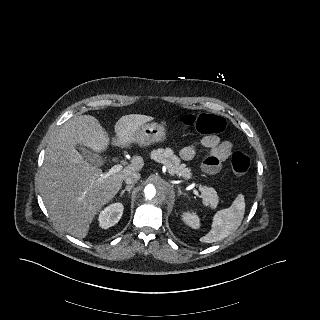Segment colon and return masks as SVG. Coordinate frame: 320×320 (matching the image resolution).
Listing matches in <instances>:
<instances>
[{
    "label": "colon",
    "instance_id": "5ec220e1",
    "mask_svg": "<svg viewBox=\"0 0 320 320\" xmlns=\"http://www.w3.org/2000/svg\"><path fill=\"white\" fill-rule=\"evenodd\" d=\"M181 123L195 128L202 134L221 133L225 127V119L216 114H185L181 117ZM231 169L238 178L243 177L250 166L249 158L242 152H235L231 157Z\"/></svg>",
    "mask_w": 320,
    "mask_h": 320
}]
</instances>
